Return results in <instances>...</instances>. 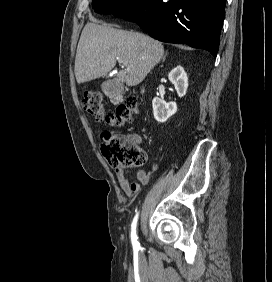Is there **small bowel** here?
<instances>
[{
  "label": "small bowel",
  "instance_id": "obj_1",
  "mask_svg": "<svg viewBox=\"0 0 272 282\" xmlns=\"http://www.w3.org/2000/svg\"><path fill=\"white\" fill-rule=\"evenodd\" d=\"M128 138L137 145H140L142 142V137L138 134L130 135ZM115 174L122 189L128 196H133L140 192L143 186L148 185L150 182V175L141 169L136 171L135 176L137 181L132 183L127 179V170L115 169Z\"/></svg>",
  "mask_w": 272,
  "mask_h": 282
}]
</instances>
